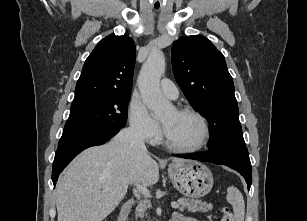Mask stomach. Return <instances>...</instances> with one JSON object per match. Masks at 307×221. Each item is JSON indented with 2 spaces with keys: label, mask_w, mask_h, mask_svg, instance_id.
<instances>
[{
  "label": "stomach",
  "mask_w": 307,
  "mask_h": 221,
  "mask_svg": "<svg viewBox=\"0 0 307 221\" xmlns=\"http://www.w3.org/2000/svg\"><path fill=\"white\" fill-rule=\"evenodd\" d=\"M168 173L173 185L190 198L205 196L214 183L210 169L197 161L173 162L169 165Z\"/></svg>",
  "instance_id": "obj_1"
}]
</instances>
